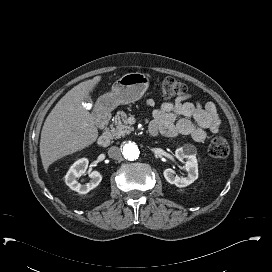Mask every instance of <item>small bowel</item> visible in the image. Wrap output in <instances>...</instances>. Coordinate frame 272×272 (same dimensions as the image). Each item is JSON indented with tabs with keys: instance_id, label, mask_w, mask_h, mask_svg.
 Segmentation results:
<instances>
[{
	"instance_id": "small-bowel-1",
	"label": "small bowel",
	"mask_w": 272,
	"mask_h": 272,
	"mask_svg": "<svg viewBox=\"0 0 272 272\" xmlns=\"http://www.w3.org/2000/svg\"><path fill=\"white\" fill-rule=\"evenodd\" d=\"M190 96L185 95L173 102L164 103L159 109L154 110V120L158 131L167 137L190 135L195 141L203 142L206 139V129L214 134H221L217 108L213 102L204 106L200 103L189 101ZM153 100L147 101L149 108L154 107ZM177 117H180L178 120Z\"/></svg>"
}]
</instances>
